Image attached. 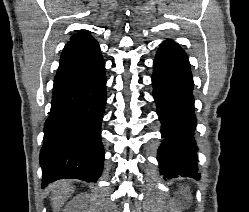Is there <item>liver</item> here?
Listing matches in <instances>:
<instances>
[{
	"label": "liver",
	"mask_w": 249,
	"mask_h": 212,
	"mask_svg": "<svg viewBox=\"0 0 249 212\" xmlns=\"http://www.w3.org/2000/svg\"><path fill=\"white\" fill-rule=\"evenodd\" d=\"M54 186L56 190L52 196V208L53 212H59L67 198H70V192H74V190H71L72 186L67 184L65 180L57 182V184H54Z\"/></svg>",
	"instance_id": "1"
}]
</instances>
